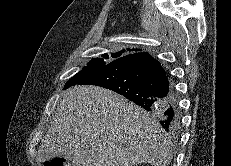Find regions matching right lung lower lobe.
Segmentation results:
<instances>
[{
	"label": "right lung lower lobe",
	"instance_id": "right-lung-lower-lobe-1",
	"mask_svg": "<svg viewBox=\"0 0 231 166\" xmlns=\"http://www.w3.org/2000/svg\"><path fill=\"white\" fill-rule=\"evenodd\" d=\"M86 84L115 91L143 109L155 112L168 133L178 134L181 126L178 96L160 62L148 53L115 59L78 83Z\"/></svg>",
	"mask_w": 231,
	"mask_h": 166
}]
</instances>
